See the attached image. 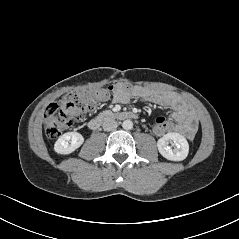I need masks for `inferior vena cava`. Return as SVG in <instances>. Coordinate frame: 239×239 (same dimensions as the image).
<instances>
[{
	"mask_svg": "<svg viewBox=\"0 0 239 239\" xmlns=\"http://www.w3.org/2000/svg\"><path fill=\"white\" fill-rule=\"evenodd\" d=\"M117 126H118L117 121L111 118L105 119L102 124L104 131H113L117 128Z\"/></svg>",
	"mask_w": 239,
	"mask_h": 239,
	"instance_id": "1",
	"label": "inferior vena cava"
}]
</instances>
